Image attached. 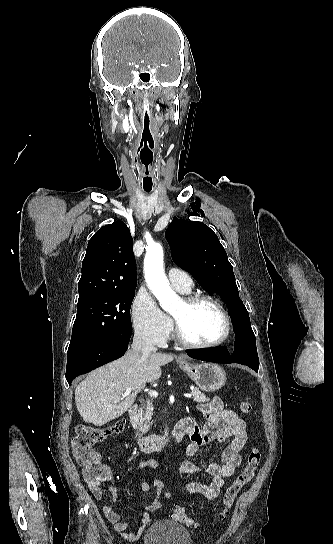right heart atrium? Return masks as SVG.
Listing matches in <instances>:
<instances>
[{"label": "right heart atrium", "instance_id": "1", "mask_svg": "<svg viewBox=\"0 0 333 544\" xmlns=\"http://www.w3.org/2000/svg\"><path fill=\"white\" fill-rule=\"evenodd\" d=\"M131 318L135 333L145 341L162 345L171 334L170 318L147 291L136 294L131 306Z\"/></svg>", "mask_w": 333, "mask_h": 544}]
</instances>
